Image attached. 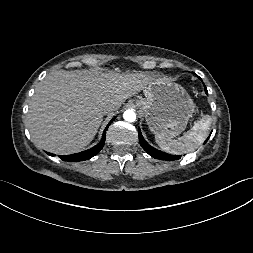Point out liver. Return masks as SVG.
I'll list each match as a JSON object with an SVG mask.
<instances>
[{"label":"liver","instance_id":"1","mask_svg":"<svg viewBox=\"0 0 253 253\" xmlns=\"http://www.w3.org/2000/svg\"><path fill=\"white\" fill-rule=\"evenodd\" d=\"M149 84L143 73L58 70L40 82L30 103L28 128L35 144L60 155L83 150L113 105L116 111Z\"/></svg>","mask_w":253,"mask_h":253}]
</instances>
